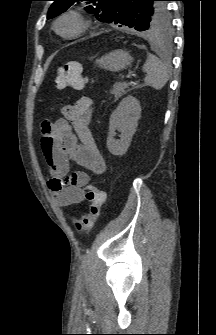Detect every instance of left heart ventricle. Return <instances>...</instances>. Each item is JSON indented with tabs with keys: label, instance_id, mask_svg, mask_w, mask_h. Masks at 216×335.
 <instances>
[{
	"label": "left heart ventricle",
	"instance_id": "left-heart-ventricle-1",
	"mask_svg": "<svg viewBox=\"0 0 216 335\" xmlns=\"http://www.w3.org/2000/svg\"><path fill=\"white\" fill-rule=\"evenodd\" d=\"M76 27V24L74 21L67 19L64 20L60 25H59V30L62 33H70L72 32Z\"/></svg>",
	"mask_w": 216,
	"mask_h": 335
}]
</instances>
